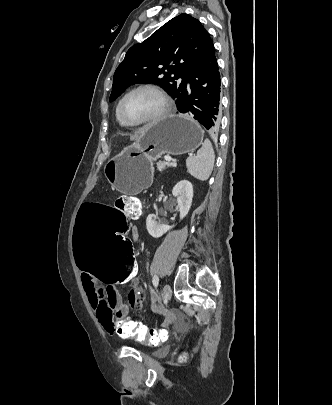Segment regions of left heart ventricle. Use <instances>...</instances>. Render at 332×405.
<instances>
[{
  "label": "left heart ventricle",
  "mask_w": 332,
  "mask_h": 405,
  "mask_svg": "<svg viewBox=\"0 0 332 405\" xmlns=\"http://www.w3.org/2000/svg\"><path fill=\"white\" fill-rule=\"evenodd\" d=\"M159 96L147 89L129 95L123 103V114L130 121H141L154 116L161 108Z\"/></svg>",
  "instance_id": "1"
}]
</instances>
